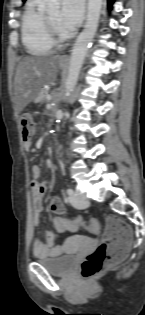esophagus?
<instances>
[{
  "label": "esophagus",
  "mask_w": 145,
  "mask_h": 315,
  "mask_svg": "<svg viewBox=\"0 0 145 315\" xmlns=\"http://www.w3.org/2000/svg\"><path fill=\"white\" fill-rule=\"evenodd\" d=\"M69 60V56L68 55H64L62 58H61V61L62 62H68Z\"/></svg>",
  "instance_id": "esophagus-1"
}]
</instances>
